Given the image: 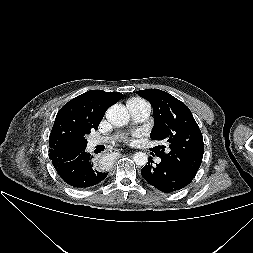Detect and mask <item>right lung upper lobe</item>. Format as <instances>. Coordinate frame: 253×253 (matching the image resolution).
<instances>
[{"label":"right lung upper lobe","mask_w":253,"mask_h":253,"mask_svg":"<svg viewBox=\"0 0 253 253\" xmlns=\"http://www.w3.org/2000/svg\"><path fill=\"white\" fill-rule=\"evenodd\" d=\"M122 93L91 90L67 102L57 113L50 138L49 158H69L87 145L85 136L98 129L106 110Z\"/></svg>","instance_id":"cb5924a9"}]
</instances>
